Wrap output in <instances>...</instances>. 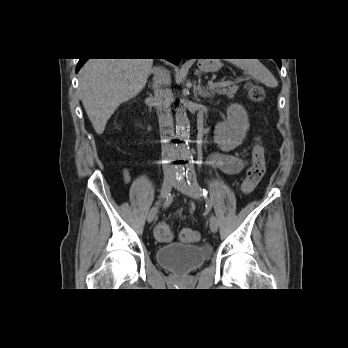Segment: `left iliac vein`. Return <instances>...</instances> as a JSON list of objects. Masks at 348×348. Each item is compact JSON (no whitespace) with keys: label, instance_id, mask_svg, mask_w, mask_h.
I'll use <instances>...</instances> for the list:
<instances>
[{"label":"left iliac vein","instance_id":"obj_1","mask_svg":"<svg viewBox=\"0 0 348 348\" xmlns=\"http://www.w3.org/2000/svg\"><path fill=\"white\" fill-rule=\"evenodd\" d=\"M174 187L179 190L180 192L194 198V199H200V196L197 192H195L187 183L185 180L181 181H175ZM210 229L213 233L217 232L218 230V220L217 218L212 215L210 218Z\"/></svg>","mask_w":348,"mask_h":348}]
</instances>
